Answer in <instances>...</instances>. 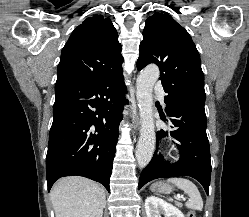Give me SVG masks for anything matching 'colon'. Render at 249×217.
Masks as SVG:
<instances>
[{"label": "colon", "mask_w": 249, "mask_h": 217, "mask_svg": "<svg viewBox=\"0 0 249 217\" xmlns=\"http://www.w3.org/2000/svg\"><path fill=\"white\" fill-rule=\"evenodd\" d=\"M187 217H196V215H195L194 211H189L187 213Z\"/></svg>", "instance_id": "obj_1"}]
</instances>
